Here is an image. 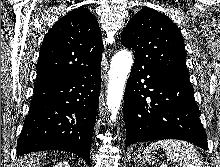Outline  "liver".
<instances>
[{"instance_id": "obj_1", "label": "liver", "mask_w": 220, "mask_h": 167, "mask_svg": "<svg viewBox=\"0 0 220 167\" xmlns=\"http://www.w3.org/2000/svg\"><path fill=\"white\" fill-rule=\"evenodd\" d=\"M45 157L42 153H32L18 160L17 167H40L41 160Z\"/></svg>"}]
</instances>
